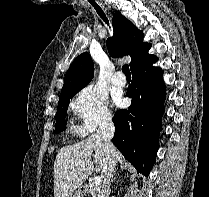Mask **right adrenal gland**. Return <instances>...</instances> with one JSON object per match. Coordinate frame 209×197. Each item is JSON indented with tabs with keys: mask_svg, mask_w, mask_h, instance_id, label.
Returning a JSON list of instances; mask_svg holds the SVG:
<instances>
[{
	"mask_svg": "<svg viewBox=\"0 0 209 197\" xmlns=\"http://www.w3.org/2000/svg\"><path fill=\"white\" fill-rule=\"evenodd\" d=\"M113 180H114V179H113V177H112V180H111V182H113Z\"/></svg>",
	"mask_w": 209,
	"mask_h": 197,
	"instance_id": "right-adrenal-gland-1",
	"label": "right adrenal gland"
}]
</instances>
